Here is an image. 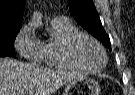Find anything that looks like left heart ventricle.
I'll list each match as a JSON object with an SVG mask.
<instances>
[{
    "label": "left heart ventricle",
    "mask_w": 135,
    "mask_h": 95,
    "mask_svg": "<svg viewBox=\"0 0 135 95\" xmlns=\"http://www.w3.org/2000/svg\"><path fill=\"white\" fill-rule=\"evenodd\" d=\"M74 57L83 65L99 68L103 64V56L99 48L86 38L79 39L73 48Z\"/></svg>",
    "instance_id": "obj_1"
}]
</instances>
